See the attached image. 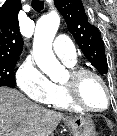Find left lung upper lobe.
<instances>
[{"label":"left lung upper lobe","mask_w":117,"mask_h":136,"mask_svg":"<svg viewBox=\"0 0 117 136\" xmlns=\"http://www.w3.org/2000/svg\"><path fill=\"white\" fill-rule=\"evenodd\" d=\"M83 54L101 74H107L104 42L97 27L88 22L81 0H54Z\"/></svg>","instance_id":"1"}]
</instances>
